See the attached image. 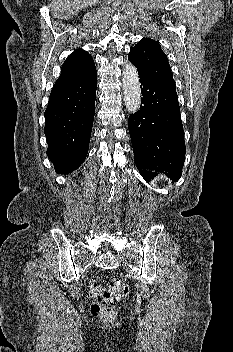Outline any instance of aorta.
<instances>
[{
  "label": "aorta",
  "instance_id": "1",
  "mask_svg": "<svg viewBox=\"0 0 233 352\" xmlns=\"http://www.w3.org/2000/svg\"><path fill=\"white\" fill-rule=\"evenodd\" d=\"M122 82L126 108L129 112L135 113L141 104L140 83L135 66L127 64L124 67Z\"/></svg>",
  "mask_w": 233,
  "mask_h": 352
}]
</instances>
